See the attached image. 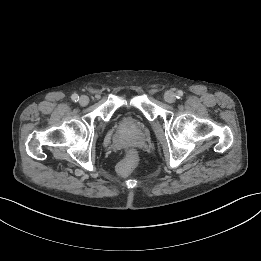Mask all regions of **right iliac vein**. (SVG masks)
<instances>
[{"mask_svg": "<svg viewBox=\"0 0 261 261\" xmlns=\"http://www.w3.org/2000/svg\"><path fill=\"white\" fill-rule=\"evenodd\" d=\"M89 103V98L85 95H82L80 98H79V104L81 106H86L87 104Z\"/></svg>", "mask_w": 261, "mask_h": 261, "instance_id": "1", "label": "right iliac vein"}]
</instances>
